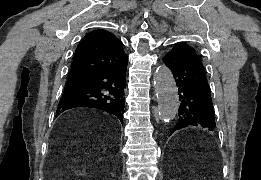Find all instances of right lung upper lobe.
<instances>
[{
    "label": "right lung upper lobe",
    "instance_id": "obj_1",
    "mask_svg": "<svg viewBox=\"0 0 261 180\" xmlns=\"http://www.w3.org/2000/svg\"><path fill=\"white\" fill-rule=\"evenodd\" d=\"M127 62L123 43L112 33L95 30L79 43L67 83H81L92 72Z\"/></svg>",
    "mask_w": 261,
    "mask_h": 180
}]
</instances>
